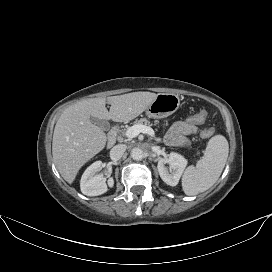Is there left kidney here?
Segmentation results:
<instances>
[{"mask_svg":"<svg viewBox=\"0 0 272 272\" xmlns=\"http://www.w3.org/2000/svg\"><path fill=\"white\" fill-rule=\"evenodd\" d=\"M168 163L170 171L165 166ZM187 166V160L180 154L172 152L167 159H160L158 161V172L161 179L170 186H176L182 176V173Z\"/></svg>","mask_w":272,"mask_h":272,"instance_id":"obj_1","label":"left kidney"}]
</instances>
